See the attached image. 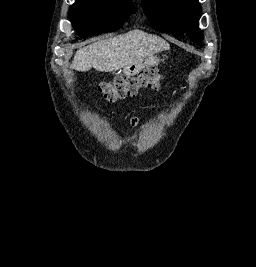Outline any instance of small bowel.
<instances>
[{
    "instance_id": "c3829d8e",
    "label": "small bowel",
    "mask_w": 256,
    "mask_h": 267,
    "mask_svg": "<svg viewBox=\"0 0 256 267\" xmlns=\"http://www.w3.org/2000/svg\"><path fill=\"white\" fill-rule=\"evenodd\" d=\"M138 123H139V119L138 118H132L130 120V125H132V126H136V125H138Z\"/></svg>"
}]
</instances>
